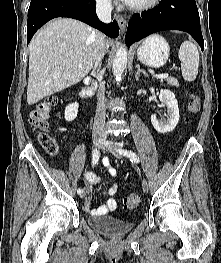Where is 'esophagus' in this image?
Listing matches in <instances>:
<instances>
[{"instance_id":"1","label":"esophagus","mask_w":221,"mask_h":263,"mask_svg":"<svg viewBox=\"0 0 221 263\" xmlns=\"http://www.w3.org/2000/svg\"><path fill=\"white\" fill-rule=\"evenodd\" d=\"M116 20H117V23H118V25H119V27H120V32H121L122 34H124L125 31H126V26H127V21H126V19L123 18L121 15H116Z\"/></svg>"}]
</instances>
